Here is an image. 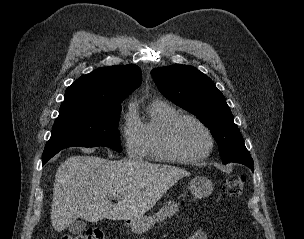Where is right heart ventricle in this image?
I'll return each mask as SVG.
<instances>
[{"label": "right heart ventricle", "mask_w": 304, "mask_h": 239, "mask_svg": "<svg viewBox=\"0 0 304 239\" xmlns=\"http://www.w3.org/2000/svg\"><path fill=\"white\" fill-rule=\"evenodd\" d=\"M147 112V120L140 122L144 144L142 156L157 162H167L161 149V136L165 125L179 111L166 101L155 100L149 104Z\"/></svg>", "instance_id": "obj_1"}]
</instances>
